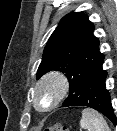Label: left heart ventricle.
I'll list each match as a JSON object with an SVG mask.
<instances>
[{"label": "left heart ventricle", "mask_w": 117, "mask_h": 131, "mask_svg": "<svg viewBox=\"0 0 117 131\" xmlns=\"http://www.w3.org/2000/svg\"><path fill=\"white\" fill-rule=\"evenodd\" d=\"M52 97H53L52 89H46L43 92H41L39 95L40 106H42V107L47 106L51 102Z\"/></svg>", "instance_id": "left-heart-ventricle-1"}]
</instances>
